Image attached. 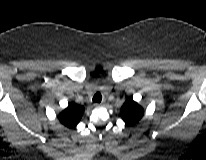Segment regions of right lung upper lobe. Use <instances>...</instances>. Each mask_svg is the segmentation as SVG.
Returning <instances> with one entry per match:
<instances>
[{
    "instance_id": "cb5924a9",
    "label": "right lung upper lobe",
    "mask_w": 206,
    "mask_h": 160,
    "mask_svg": "<svg viewBox=\"0 0 206 160\" xmlns=\"http://www.w3.org/2000/svg\"><path fill=\"white\" fill-rule=\"evenodd\" d=\"M83 113V106L69 103L68 107L58 115V119L64 126L73 128L79 123Z\"/></svg>"
}]
</instances>
